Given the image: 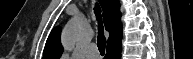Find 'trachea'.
I'll return each mask as SVG.
<instances>
[{"mask_svg": "<svg viewBox=\"0 0 193 59\" xmlns=\"http://www.w3.org/2000/svg\"><path fill=\"white\" fill-rule=\"evenodd\" d=\"M97 12L99 13L98 10ZM98 17L100 18V16ZM97 47H98L100 54L103 55L105 53L106 38L104 36L102 22L99 24V27H98Z\"/></svg>", "mask_w": 193, "mask_h": 59, "instance_id": "obj_1", "label": "trachea"}]
</instances>
